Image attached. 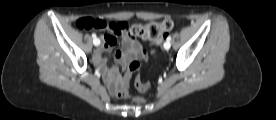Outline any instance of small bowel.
Here are the masks:
<instances>
[{
  "mask_svg": "<svg viewBox=\"0 0 276 120\" xmlns=\"http://www.w3.org/2000/svg\"><path fill=\"white\" fill-rule=\"evenodd\" d=\"M127 24L124 22L114 23L106 22V26L103 28L107 31L106 34L100 36L102 40V47L96 52L94 56L95 63L104 67L105 60L103 53L105 50H110L117 44V37H122V51L117 52L116 59L117 63L125 69L127 63L131 60L139 57H144V49L142 45L135 39L134 36L126 33ZM104 80L108 86L109 91L113 94L117 90L120 77L118 75L117 66H112L104 70Z\"/></svg>",
  "mask_w": 276,
  "mask_h": 120,
  "instance_id": "1",
  "label": "small bowel"
}]
</instances>
